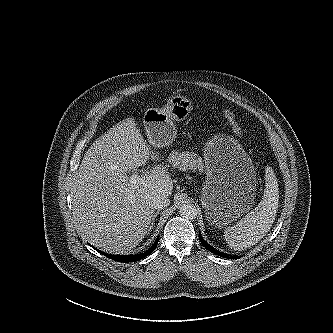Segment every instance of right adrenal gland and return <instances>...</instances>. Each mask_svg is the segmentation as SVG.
I'll use <instances>...</instances> for the list:
<instances>
[{"label":"right adrenal gland","mask_w":333,"mask_h":333,"mask_svg":"<svg viewBox=\"0 0 333 333\" xmlns=\"http://www.w3.org/2000/svg\"><path fill=\"white\" fill-rule=\"evenodd\" d=\"M159 214V210H157L156 212L153 213L152 215V219H151V225H150V228H149V231H151L153 229V226L155 224V219L156 217L158 216Z\"/></svg>","instance_id":"1"}]
</instances>
